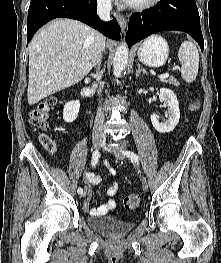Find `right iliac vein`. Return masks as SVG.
<instances>
[{
  "label": "right iliac vein",
  "mask_w": 221,
  "mask_h": 263,
  "mask_svg": "<svg viewBox=\"0 0 221 263\" xmlns=\"http://www.w3.org/2000/svg\"><path fill=\"white\" fill-rule=\"evenodd\" d=\"M104 143V138L100 135H96L93 137V146L95 149H99ZM86 195V189L80 194L81 197Z\"/></svg>",
  "instance_id": "right-iliac-vein-1"
}]
</instances>
